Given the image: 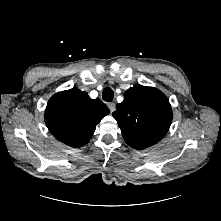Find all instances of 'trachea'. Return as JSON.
<instances>
[{
	"label": "trachea",
	"mask_w": 221,
	"mask_h": 221,
	"mask_svg": "<svg viewBox=\"0 0 221 221\" xmlns=\"http://www.w3.org/2000/svg\"><path fill=\"white\" fill-rule=\"evenodd\" d=\"M102 98L106 102H111L114 98V92L110 87H105L102 92Z\"/></svg>",
	"instance_id": "3493384b"
}]
</instances>
